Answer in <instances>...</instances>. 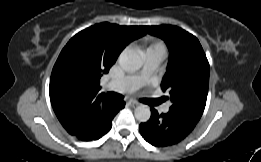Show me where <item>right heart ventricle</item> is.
<instances>
[{
	"label": "right heart ventricle",
	"instance_id": "1",
	"mask_svg": "<svg viewBox=\"0 0 261 162\" xmlns=\"http://www.w3.org/2000/svg\"><path fill=\"white\" fill-rule=\"evenodd\" d=\"M148 45L146 47V51H150V50H160L165 52V45L163 44V42L159 41V40H153V39H148Z\"/></svg>",
	"mask_w": 261,
	"mask_h": 162
}]
</instances>
